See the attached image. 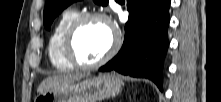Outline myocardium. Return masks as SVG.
I'll use <instances>...</instances> for the list:
<instances>
[{
    "label": "myocardium",
    "mask_w": 221,
    "mask_h": 102,
    "mask_svg": "<svg viewBox=\"0 0 221 102\" xmlns=\"http://www.w3.org/2000/svg\"><path fill=\"white\" fill-rule=\"evenodd\" d=\"M89 20H99L106 23L109 26L112 33V43L108 51L100 59L91 63H86L81 62L77 59V57L74 54L73 44L78 29L83 23ZM119 43L120 38L118 33L112 26L110 20L104 14L100 12H84L80 13L77 17H75L66 30L63 41V55L66 61L73 67L80 69H94L103 65L112 58V56L115 54L119 47Z\"/></svg>",
    "instance_id": "1"
}]
</instances>
